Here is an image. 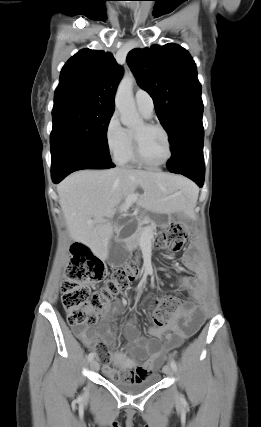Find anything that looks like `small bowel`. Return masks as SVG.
Masks as SVG:
<instances>
[{
    "label": "small bowel",
    "mask_w": 261,
    "mask_h": 427,
    "mask_svg": "<svg viewBox=\"0 0 261 427\" xmlns=\"http://www.w3.org/2000/svg\"><path fill=\"white\" fill-rule=\"evenodd\" d=\"M146 270H150L148 264L149 253H146ZM181 263L195 273L194 276L179 279L178 286L189 293L194 305H185L175 312L170 322L161 330L155 331L152 338H144L136 327V318L129 320L124 326V336L127 340V350L139 356L147 355V358L137 365L132 377L144 378L160 367L165 360L166 353L182 344V342L193 335L201 325L204 318V277L200 266L194 257L187 253L181 258ZM127 304L126 299L116 301L110 312L118 315L122 307ZM110 320L103 319L97 328L76 327L74 333L90 349H96L101 362L105 365L104 372L108 376H119L109 364L108 346L115 345L116 340L112 336L109 327ZM182 322V324H181ZM163 335L164 341H161ZM125 362L133 366V361L125 357Z\"/></svg>",
    "instance_id": "small-bowel-1"
}]
</instances>
